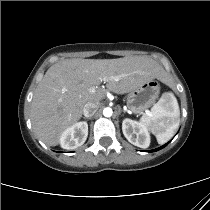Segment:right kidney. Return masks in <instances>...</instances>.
Instances as JSON below:
<instances>
[{
  "instance_id": "1",
  "label": "right kidney",
  "mask_w": 210,
  "mask_h": 210,
  "mask_svg": "<svg viewBox=\"0 0 210 210\" xmlns=\"http://www.w3.org/2000/svg\"><path fill=\"white\" fill-rule=\"evenodd\" d=\"M87 136V122H77L63 131L60 137V145L67 150L76 149L85 143Z\"/></svg>"
}]
</instances>
